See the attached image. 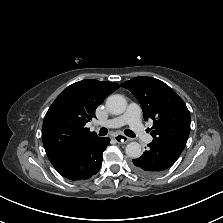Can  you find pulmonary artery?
Listing matches in <instances>:
<instances>
[{"instance_id":"pulmonary-artery-1","label":"pulmonary artery","mask_w":223,"mask_h":223,"mask_svg":"<svg viewBox=\"0 0 223 223\" xmlns=\"http://www.w3.org/2000/svg\"><path fill=\"white\" fill-rule=\"evenodd\" d=\"M140 116V107L135 103H131L123 115L101 122L99 125L108 128H119L128 124L141 141L151 142L152 137L145 132Z\"/></svg>"}]
</instances>
